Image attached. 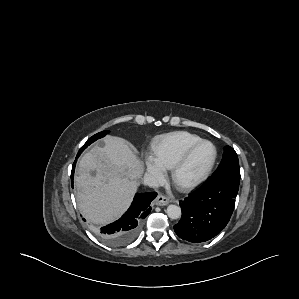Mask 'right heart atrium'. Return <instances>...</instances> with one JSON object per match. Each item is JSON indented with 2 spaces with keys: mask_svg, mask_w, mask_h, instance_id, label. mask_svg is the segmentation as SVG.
<instances>
[{
  "mask_svg": "<svg viewBox=\"0 0 299 299\" xmlns=\"http://www.w3.org/2000/svg\"><path fill=\"white\" fill-rule=\"evenodd\" d=\"M147 172L155 182H161L165 177L164 168L153 158L149 157L146 161Z\"/></svg>",
  "mask_w": 299,
  "mask_h": 299,
  "instance_id": "obj_1",
  "label": "right heart atrium"
}]
</instances>
